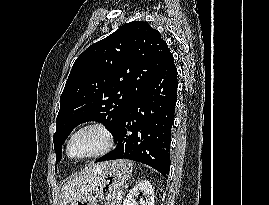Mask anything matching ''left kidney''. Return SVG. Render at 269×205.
Wrapping results in <instances>:
<instances>
[{"label": "left kidney", "instance_id": "1", "mask_svg": "<svg viewBox=\"0 0 269 205\" xmlns=\"http://www.w3.org/2000/svg\"><path fill=\"white\" fill-rule=\"evenodd\" d=\"M141 192L144 199L138 201L137 194ZM123 205H154V190L149 181L144 180L136 184L127 194L123 201Z\"/></svg>", "mask_w": 269, "mask_h": 205}]
</instances>
